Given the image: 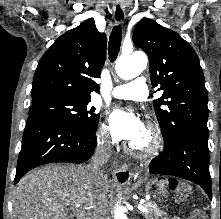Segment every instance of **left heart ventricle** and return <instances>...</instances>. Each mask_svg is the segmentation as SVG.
I'll list each match as a JSON object with an SVG mask.
<instances>
[{
    "label": "left heart ventricle",
    "instance_id": "left-heart-ventricle-1",
    "mask_svg": "<svg viewBox=\"0 0 221 219\" xmlns=\"http://www.w3.org/2000/svg\"><path fill=\"white\" fill-rule=\"evenodd\" d=\"M146 142H147V136H146L144 129L139 133V135L135 139L131 141V143L139 147L144 146Z\"/></svg>",
    "mask_w": 221,
    "mask_h": 219
}]
</instances>
